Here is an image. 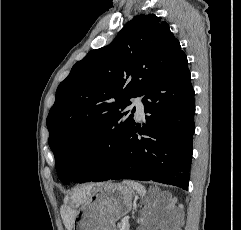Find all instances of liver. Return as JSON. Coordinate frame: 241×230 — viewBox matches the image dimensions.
Returning a JSON list of instances; mask_svg holds the SVG:
<instances>
[{
  "label": "liver",
  "instance_id": "obj_1",
  "mask_svg": "<svg viewBox=\"0 0 241 230\" xmlns=\"http://www.w3.org/2000/svg\"><path fill=\"white\" fill-rule=\"evenodd\" d=\"M85 195V194H83ZM82 197V193L76 194L73 198V201L76 202L77 206H79V204L83 203L86 201V197L84 196L85 200H81ZM65 201H68V198H65ZM61 215L63 218V223L66 227L67 230H72L73 228V224H74V220H75V215H76V211L74 209H70V208H63L61 210Z\"/></svg>",
  "mask_w": 241,
  "mask_h": 230
}]
</instances>
